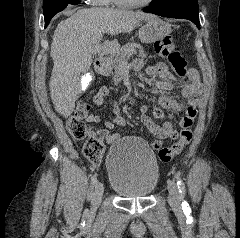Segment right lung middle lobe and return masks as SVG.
<instances>
[{"instance_id": "1", "label": "right lung middle lobe", "mask_w": 240, "mask_h": 238, "mask_svg": "<svg viewBox=\"0 0 240 238\" xmlns=\"http://www.w3.org/2000/svg\"><path fill=\"white\" fill-rule=\"evenodd\" d=\"M78 3V0H43L45 27H47L51 18L58 12L64 10L68 4L76 5Z\"/></svg>"}]
</instances>
